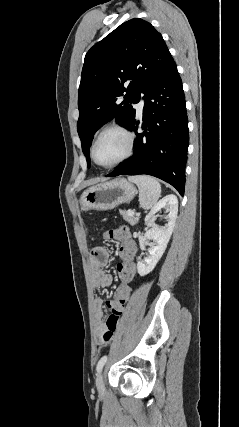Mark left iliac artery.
Masks as SVG:
<instances>
[{"instance_id":"1","label":"left iliac artery","mask_w":239,"mask_h":427,"mask_svg":"<svg viewBox=\"0 0 239 427\" xmlns=\"http://www.w3.org/2000/svg\"><path fill=\"white\" fill-rule=\"evenodd\" d=\"M106 361H107V356H106V355H105V356H103V357L98 361V364H97V367H96L97 372H100V371H101V369L103 368V366H104V364L106 363Z\"/></svg>"}]
</instances>
